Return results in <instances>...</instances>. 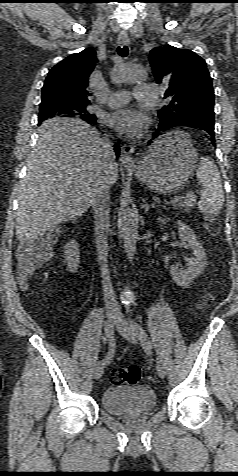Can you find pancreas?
<instances>
[{
	"mask_svg": "<svg viewBox=\"0 0 238 476\" xmlns=\"http://www.w3.org/2000/svg\"><path fill=\"white\" fill-rule=\"evenodd\" d=\"M195 203L196 196L193 193H189L184 196L176 205H174V208L180 209L182 211H191Z\"/></svg>",
	"mask_w": 238,
	"mask_h": 476,
	"instance_id": "1",
	"label": "pancreas"
}]
</instances>
